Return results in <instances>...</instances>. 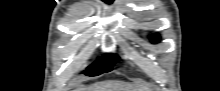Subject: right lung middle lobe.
Wrapping results in <instances>:
<instances>
[{
    "label": "right lung middle lobe",
    "instance_id": "right-lung-middle-lobe-1",
    "mask_svg": "<svg viewBox=\"0 0 220 91\" xmlns=\"http://www.w3.org/2000/svg\"><path fill=\"white\" fill-rule=\"evenodd\" d=\"M118 61L119 57L105 55L103 59H100L90 65L84 73L88 76H97L104 72H109L112 69L113 64Z\"/></svg>",
    "mask_w": 220,
    "mask_h": 91
}]
</instances>
